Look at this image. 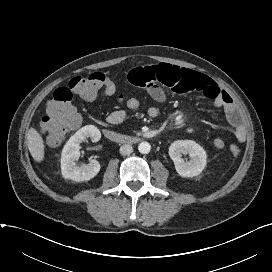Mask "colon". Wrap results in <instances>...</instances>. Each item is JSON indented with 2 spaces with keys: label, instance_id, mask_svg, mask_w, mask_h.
Wrapping results in <instances>:
<instances>
[{
  "label": "colon",
  "instance_id": "5ec220e1",
  "mask_svg": "<svg viewBox=\"0 0 272 272\" xmlns=\"http://www.w3.org/2000/svg\"><path fill=\"white\" fill-rule=\"evenodd\" d=\"M115 92V83L101 72L74 77L69 81L68 86L56 89L46 104V114L41 124V130L47 142L51 145H58L70 130L79 125L80 117L72 103L73 94L79 95L84 100L92 101L101 94L110 96ZM118 101L131 111L138 109L141 104L138 98L125 93L119 94ZM212 144L217 150L226 146L225 141L221 138L214 139Z\"/></svg>",
  "mask_w": 272,
  "mask_h": 272
}]
</instances>
